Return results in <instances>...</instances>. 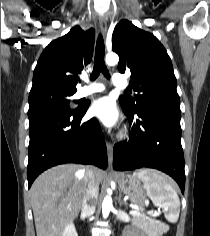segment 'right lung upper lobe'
Instances as JSON below:
<instances>
[{
	"mask_svg": "<svg viewBox=\"0 0 210 236\" xmlns=\"http://www.w3.org/2000/svg\"><path fill=\"white\" fill-rule=\"evenodd\" d=\"M94 39V29L83 31L75 26L63 37L52 41L35 67L29 101L46 91L75 93L77 75L91 62Z\"/></svg>",
	"mask_w": 210,
	"mask_h": 236,
	"instance_id": "1",
	"label": "right lung upper lobe"
}]
</instances>
